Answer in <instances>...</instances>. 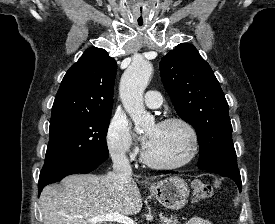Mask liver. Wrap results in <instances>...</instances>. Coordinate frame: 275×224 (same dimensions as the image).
Instances as JSON below:
<instances>
[{"instance_id": "6515ba94", "label": "liver", "mask_w": 275, "mask_h": 224, "mask_svg": "<svg viewBox=\"0 0 275 224\" xmlns=\"http://www.w3.org/2000/svg\"><path fill=\"white\" fill-rule=\"evenodd\" d=\"M61 185H48L41 192L39 204L44 224H91L92 217L114 212L134 215L142 208L134 180L122 181L116 172L102 176L69 175Z\"/></svg>"}]
</instances>
